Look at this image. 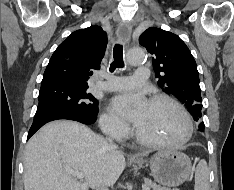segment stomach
Segmentation results:
<instances>
[{
    "label": "stomach",
    "mask_w": 234,
    "mask_h": 190,
    "mask_svg": "<svg viewBox=\"0 0 234 190\" xmlns=\"http://www.w3.org/2000/svg\"><path fill=\"white\" fill-rule=\"evenodd\" d=\"M143 161H138L142 164ZM151 176L165 187L183 184L190 176L191 161L187 155L177 150L165 149L155 153L150 159Z\"/></svg>",
    "instance_id": "0dacf381"
}]
</instances>
